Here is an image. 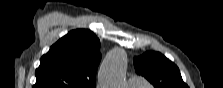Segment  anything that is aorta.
Wrapping results in <instances>:
<instances>
[{
	"mask_svg": "<svg viewBox=\"0 0 223 88\" xmlns=\"http://www.w3.org/2000/svg\"><path fill=\"white\" fill-rule=\"evenodd\" d=\"M127 55L123 49H113L104 59L100 68L102 88H124Z\"/></svg>",
	"mask_w": 223,
	"mask_h": 88,
	"instance_id": "1",
	"label": "aorta"
}]
</instances>
